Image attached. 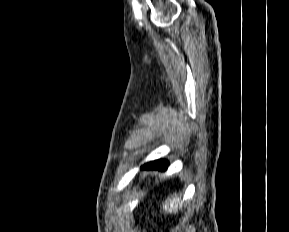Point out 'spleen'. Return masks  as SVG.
Returning a JSON list of instances; mask_svg holds the SVG:
<instances>
[{"label": "spleen", "instance_id": "obj_1", "mask_svg": "<svg viewBox=\"0 0 289 232\" xmlns=\"http://www.w3.org/2000/svg\"><path fill=\"white\" fill-rule=\"evenodd\" d=\"M182 207V202L180 198L175 193L171 197H169L164 203H163V211L165 213H177L178 208Z\"/></svg>", "mask_w": 289, "mask_h": 232}]
</instances>
